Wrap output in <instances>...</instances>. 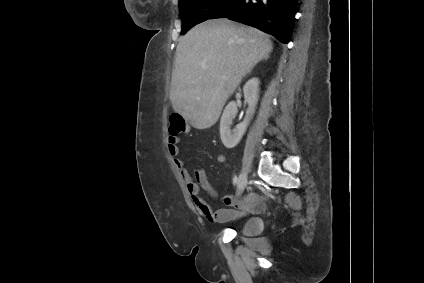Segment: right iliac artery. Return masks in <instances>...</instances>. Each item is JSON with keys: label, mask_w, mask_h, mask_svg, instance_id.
I'll use <instances>...</instances> for the list:
<instances>
[{"label": "right iliac artery", "mask_w": 424, "mask_h": 283, "mask_svg": "<svg viewBox=\"0 0 424 283\" xmlns=\"http://www.w3.org/2000/svg\"><path fill=\"white\" fill-rule=\"evenodd\" d=\"M238 178L237 176L234 177V184H237Z\"/></svg>", "instance_id": "right-iliac-artery-1"}]
</instances>
